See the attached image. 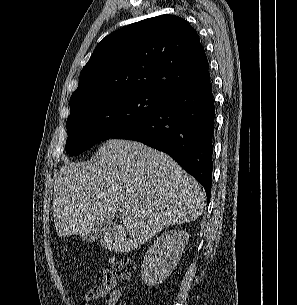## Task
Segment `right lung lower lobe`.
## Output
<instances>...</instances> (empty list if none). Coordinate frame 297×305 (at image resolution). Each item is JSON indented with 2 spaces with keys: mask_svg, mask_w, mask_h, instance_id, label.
I'll return each mask as SVG.
<instances>
[{
  "mask_svg": "<svg viewBox=\"0 0 297 305\" xmlns=\"http://www.w3.org/2000/svg\"><path fill=\"white\" fill-rule=\"evenodd\" d=\"M214 100L210 80L166 97L149 116L114 135L170 155L211 196Z\"/></svg>",
  "mask_w": 297,
  "mask_h": 305,
  "instance_id": "1",
  "label": "right lung lower lobe"
}]
</instances>
